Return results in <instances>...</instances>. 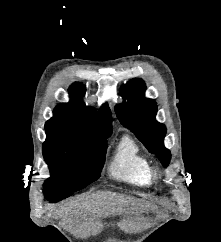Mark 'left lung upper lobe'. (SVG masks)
<instances>
[{"label": "left lung upper lobe", "mask_w": 221, "mask_h": 242, "mask_svg": "<svg viewBox=\"0 0 221 242\" xmlns=\"http://www.w3.org/2000/svg\"><path fill=\"white\" fill-rule=\"evenodd\" d=\"M145 89V83L141 79H132L123 85L121 95L127 99V103L116 105L115 111L120 122L134 132L166 167L171 158L170 151L163 144L166 128L156 121V102L144 97Z\"/></svg>", "instance_id": "left-lung-upper-lobe-1"}]
</instances>
